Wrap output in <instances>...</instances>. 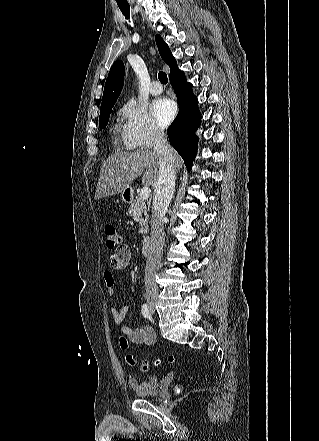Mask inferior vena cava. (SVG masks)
Wrapping results in <instances>:
<instances>
[{"instance_id": "inferior-vena-cava-1", "label": "inferior vena cava", "mask_w": 319, "mask_h": 441, "mask_svg": "<svg viewBox=\"0 0 319 441\" xmlns=\"http://www.w3.org/2000/svg\"><path fill=\"white\" fill-rule=\"evenodd\" d=\"M153 153L158 157L159 177L154 189L153 211L151 220L150 253L145 267L146 297L158 295L155 276L161 262L165 240L163 218L174 194L175 160L174 150L167 143L164 132H154Z\"/></svg>"}]
</instances>
